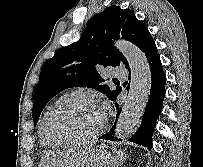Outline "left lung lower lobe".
<instances>
[{
	"label": "left lung lower lobe",
	"instance_id": "obj_1",
	"mask_svg": "<svg viewBox=\"0 0 203 167\" xmlns=\"http://www.w3.org/2000/svg\"><path fill=\"white\" fill-rule=\"evenodd\" d=\"M147 58L151 71V90L147 106L143 115L142 123L139 129L130 138V141L136 142L140 145L152 148V134L153 129L156 124V119L162 111V103L165 97V83L166 75L161 65V61L158 55V50L154 40L152 39L142 50ZM129 69V68H128ZM116 109H118L116 121L121 109L116 104ZM115 121V123H116ZM114 129L115 124L111 130L100 137V139L114 140Z\"/></svg>",
	"mask_w": 203,
	"mask_h": 167
}]
</instances>
